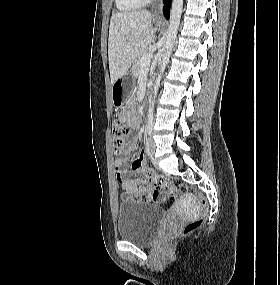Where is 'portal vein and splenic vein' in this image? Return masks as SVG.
<instances>
[{
	"label": "portal vein and splenic vein",
	"mask_w": 280,
	"mask_h": 285,
	"mask_svg": "<svg viewBox=\"0 0 280 285\" xmlns=\"http://www.w3.org/2000/svg\"><path fill=\"white\" fill-rule=\"evenodd\" d=\"M151 62V55H145L140 58L141 66H148Z\"/></svg>",
	"instance_id": "18ae733b"
}]
</instances>
